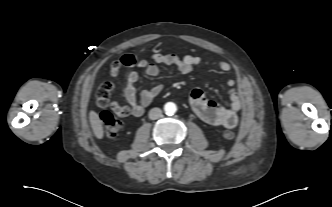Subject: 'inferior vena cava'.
Wrapping results in <instances>:
<instances>
[{
  "instance_id": "obj_1",
  "label": "inferior vena cava",
  "mask_w": 332,
  "mask_h": 207,
  "mask_svg": "<svg viewBox=\"0 0 332 207\" xmlns=\"http://www.w3.org/2000/svg\"><path fill=\"white\" fill-rule=\"evenodd\" d=\"M162 116V111L160 108H153L149 111V118L156 120Z\"/></svg>"
}]
</instances>
